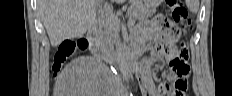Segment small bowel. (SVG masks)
I'll use <instances>...</instances> for the list:
<instances>
[{"label":"small bowel","mask_w":232,"mask_h":96,"mask_svg":"<svg viewBox=\"0 0 232 96\" xmlns=\"http://www.w3.org/2000/svg\"><path fill=\"white\" fill-rule=\"evenodd\" d=\"M180 29L175 22L167 19L165 11H156L153 19L142 20L134 30H128L127 34L132 35L131 43L140 46L144 43H160L161 39H168V35H175ZM166 57L160 49L154 51V58ZM173 69V68H172ZM175 74L174 91L168 84H162L157 90L154 88L152 78L147 67L139 70L138 78L144 96H173L185 95L187 89V75Z\"/></svg>","instance_id":"obj_1"}]
</instances>
